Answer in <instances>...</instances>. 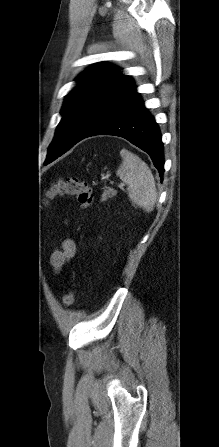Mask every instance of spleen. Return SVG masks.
Listing matches in <instances>:
<instances>
[{
    "instance_id": "3e777b00",
    "label": "spleen",
    "mask_w": 219,
    "mask_h": 447,
    "mask_svg": "<svg viewBox=\"0 0 219 447\" xmlns=\"http://www.w3.org/2000/svg\"><path fill=\"white\" fill-rule=\"evenodd\" d=\"M120 156L122 163L117 175L127 184L129 198L137 206L151 212L157 201L155 180L151 170L137 155L126 149L120 151Z\"/></svg>"
}]
</instances>
